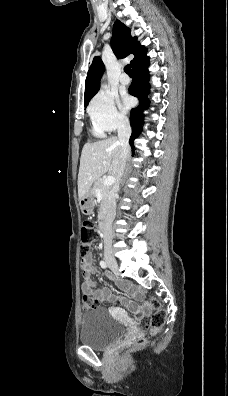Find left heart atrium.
Masks as SVG:
<instances>
[{
    "label": "left heart atrium",
    "mask_w": 228,
    "mask_h": 396,
    "mask_svg": "<svg viewBox=\"0 0 228 396\" xmlns=\"http://www.w3.org/2000/svg\"><path fill=\"white\" fill-rule=\"evenodd\" d=\"M132 106V99L128 95H123L120 100L122 110H128Z\"/></svg>",
    "instance_id": "39dd6f15"
}]
</instances>
